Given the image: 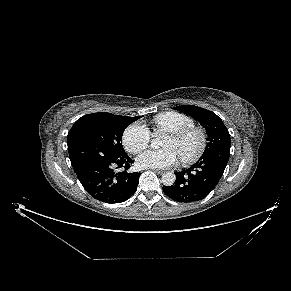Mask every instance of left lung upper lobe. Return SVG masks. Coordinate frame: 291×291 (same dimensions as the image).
<instances>
[{
    "label": "left lung upper lobe",
    "mask_w": 291,
    "mask_h": 291,
    "mask_svg": "<svg viewBox=\"0 0 291 291\" xmlns=\"http://www.w3.org/2000/svg\"><path fill=\"white\" fill-rule=\"evenodd\" d=\"M174 109L193 117L206 129L208 143L203 155L210 154L220 147H230V134L215 113L193 105L177 106Z\"/></svg>",
    "instance_id": "left-lung-upper-lobe-1"
}]
</instances>
